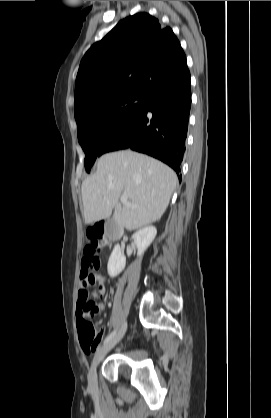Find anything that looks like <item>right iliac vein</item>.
I'll use <instances>...</instances> for the list:
<instances>
[{
    "mask_svg": "<svg viewBox=\"0 0 271 418\" xmlns=\"http://www.w3.org/2000/svg\"><path fill=\"white\" fill-rule=\"evenodd\" d=\"M127 329V324L125 323L120 331L117 333V335L111 339L109 342H107L105 345H103L95 354L91 367L89 369L88 373V382L89 386L92 389L96 388L97 385V366L99 363L104 359L106 354L122 339Z\"/></svg>",
    "mask_w": 271,
    "mask_h": 418,
    "instance_id": "right-iliac-vein-1",
    "label": "right iliac vein"
}]
</instances>
